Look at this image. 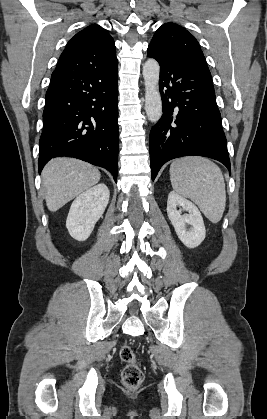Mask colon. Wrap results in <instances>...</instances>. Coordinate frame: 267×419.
Listing matches in <instances>:
<instances>
[{"label":"colon","mask_w":267,"mask_h":419,"mask_svg":"<svg viewBox=\"0 0 267 419\" xmlns=\"http://www.w3.org/2000/svg\"><path fill=\"white\" fill-rule=\"evenodd\" d=\"M120 358L125 363L121 374L122 383L131 389L139 387L143 382L144 375L132 348L127 345L122 346Z\"/></svg>","instance_id":"5ec220e1"}]
</instances>
